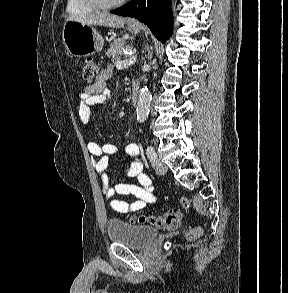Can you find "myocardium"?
Here are the masks:
<instances>
[{"instance_id": "f54148a6", "label": "myocardium", "mask_w": 288, "mask_h": 293, "mask_svg": "<svg viewBox=\"0 0 288 293\" xmlns=\"http://www.w3.org/2000/svg\"><path fill=\"white\" fill-rule=\"evenodd\" d=\"M86 3L100 9L114 8L122 5L126 0H84Z\"/></svg>"}]
</instances>
